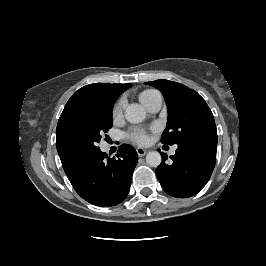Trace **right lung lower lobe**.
Returning a JSON list of instances; mask_svg holds the SVG:
<instances>
[{
    "mask_svg": "<svg viewBox=\"0 0 266 266\" xmlns=\"http://www.w3.org/2000/svg\"><path fill=\"white\" fill-rule=\"evenodd\" d=\"M137 161L136 150L130 145L119 146L116 158L99 150L86 158L69 180L87 202L100 207L115 206L129 193Z\"/></svg>",
    "mask_w": 266,
    "mask_h": 266,
    "instance_id": "obj_1",
    "label": "right lung lower lobe"
}]
</instances>
